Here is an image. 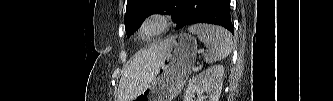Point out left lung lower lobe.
Returning a JSON list of instances; mask_svg holds the SVG:
<instances>
[{
  "instance_id": "0a47b994",
  "label": "left lung lower lobe",
  "mask_w": 333,
  "mask_h": 101,
  "mask_svg": "<svg viewBox=\"0 0 333 101\" xmlns=\"http://www.w3.org/2000/svg\"><path fill=\"white\" fill-rule=\"evenodd\" d=\"M184 10L176 29L195 23L221 25L233 34L230 0H180Z\"/></svg>"
}]
</instances>
